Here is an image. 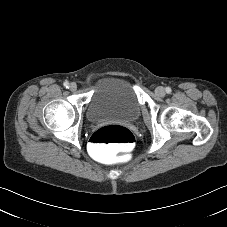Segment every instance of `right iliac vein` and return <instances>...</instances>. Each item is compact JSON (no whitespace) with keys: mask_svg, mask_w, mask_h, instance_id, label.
<instances>
[{"mask_svg":"<svg viewBox=\"0 0 227 227\" xmlns=\"http://www.w3.org/2000/svg\"><path fill=\"white\" fill-rule=\"evenodd\" d=\"M69 89L71 91H76L77 90V84L76 83H71L70 86H69Z\"/></svg>","mask_w":227,"mask_h":227,"instance_id":"obj_1","label":"right iliac vein"}]
</instances>
